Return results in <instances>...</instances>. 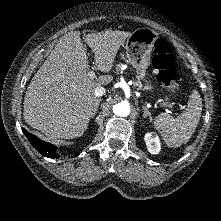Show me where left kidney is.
<instances>
[{"label":"left kidney","instance_id":"left-kidney-1","mask_svg":"<svg viewBox=\"0 0 221 221\" xmlns=\"http://www.w3.org/2000/svg\"><path fill=\"white\" fill-rule=\"evenodd\" d=\"M146 146L151 154H158L161 150V142L157 135L153 133H146L145 138Z\"/></svg>","mask_w":221,"mask_h":221}]
</instances>
